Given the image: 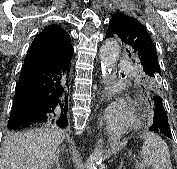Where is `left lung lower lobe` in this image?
Here are the masks:
<instances>
[{
  "instance_id": "left-lung-lower-lobe-1",
  "label": "left lung lower lobe",
  "mask_w": 177,
  "mask_h": 169,
  "mask_svg": "<svg viewBox=\"0 0 177 169\" xmlns=\"http://www.w3.org/2000/svg\"><path fill=\"white\" fill-rule=\"evenodd\" d=\"M152 102L154 103V123L149 130L164 134L172 139L170 126L168 124L167 115L163 107L161 95L154 90H149Z\"/></svg>"
}]
</instances>
